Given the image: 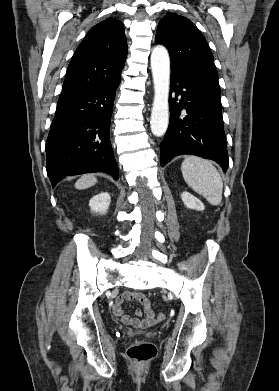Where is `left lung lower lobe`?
Returning <instances> with one entry per match:
<instances>
[{"mask_svg":"<svg viewBox=\"0 0 279 391\" xmlns=\"http://www.w3.org/2000/svg\"><path fill=\"white\" fill-rule=\"evenodd\" d=\"M170 82V121L160 145L161 166L175 156L190 154L214 160L226 171L229 160L221 97L175 73Z\"/></svg>","mask_w":279,"mask_h":391,"instance_id":"1","label":"left lung lower lobe"}]
</instances>
